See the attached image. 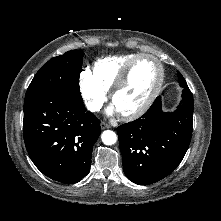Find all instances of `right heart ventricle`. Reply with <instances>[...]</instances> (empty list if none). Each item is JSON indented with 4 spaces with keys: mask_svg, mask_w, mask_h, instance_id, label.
<instances>
[{
    "mask_svg": "<svg viewBox=\"0 0 221 221\" xmlns=\"http://www.w3.org/2000/svg\"><path fill=\"white\" fill-rule=\"evenodd\" d=\"M139 53H127L98 59L92 66L95 81L106 91H110L125 65Z\"/></svg>",
    "mask_w": 221,
    "mask_h": 221,
    "instance_id": "e07e8e85",
    "label": "right heart ventricle"
}]
</instances>
